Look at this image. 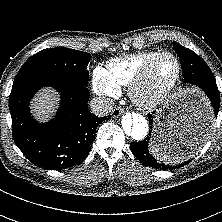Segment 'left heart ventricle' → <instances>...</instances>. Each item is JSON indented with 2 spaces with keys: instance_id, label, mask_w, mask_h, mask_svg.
<instances>
[{
  "instance_id": "b2bd125f",
  "label": "left heart ventricle",
  "mask_w": 222,
  "mask_h": 222,
  "mask_svg": "<svg viewBox=\"0 0 222 222\" xmlns=\"http://www.w3.org/2000/svg\"><path fill=\"white\" fill-rule=\"evenodd\" d=\"M177 65L173 58L163 57L153 67L144 93L153 94L167 85L176 74Z\"/></svg>"
}]
</instances>
